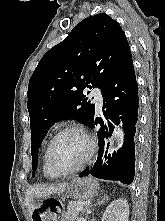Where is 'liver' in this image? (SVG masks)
<instances>
[{
	"instance_id": "1",
	"label": "liver",
	"mask_w": 165,
	"mask_h": 221,
	"mask_svg": "<svg viewBox=\"0 0 165 221\" xmlns=\"http://www.w3.org/2000/svg\"><path fill=\"white\" fill-rule=\"evenodd\" d=\"M67 183L51 185V186H35L29 188L25 195V200L28 206L29 214L31 215L35 209L33 197H45L53 193L60 192L66 187Z\"/></svg>"
}]
</instances>
